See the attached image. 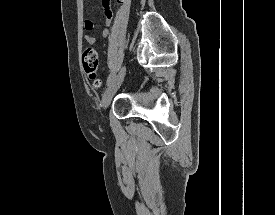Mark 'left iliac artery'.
I'll use <instances>...</instances> for the list:
<instances>
[{
	"mask_svg": "<svg viewBox=\"0 0 275 215\" xmlns=\"http://www.w3.org/2000/svg\"><path fill=\"white\" fill-rule=\"evenodd\" d=\"M114 76H115V74H114V73H111V74L108 76L107 81H106L107 86H109V85H110V83L113 81Z\"/></svg>",
	"mask_w": 275,
	"mask_h": 215,
	"instance_id": "1",
	"label": "left iliac artery"
}]
</instances>
